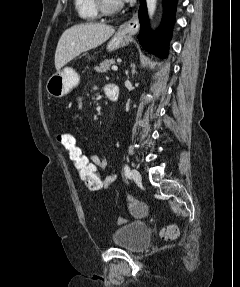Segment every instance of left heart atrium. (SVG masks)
<instances>
[{
    "mask_svg": "<svg viewBox=\"0 0 240 287\" xmlns=\"http://www.w3.org/2000/svg\"><path fill=\"white\" fill-rule=\"evenodd\" d=\"M127 1H130V0H118V2H127Z\"/></svg>",
    "mask_w": 240,
    "mask_h": 287,
    "instance_id": "obj_1",
    "label": "left heart atrium"
}]
</instances>
